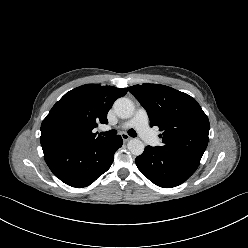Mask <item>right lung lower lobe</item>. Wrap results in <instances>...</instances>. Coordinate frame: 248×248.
<instances>
[{
	"mask_svg": "<svg viewBox=\"0 0 248 248\" xmlns=\"http://www.w3.org/2000/svg\"><path fill=\"white\" fill-rule=\"evenodd\" d=\"M120 135L79 146H48L43 148L44 159L65 184L86 187L105 173L114 160V153L122 146Z\"/></svg>",
	"mask_w": 248,
	"mask_h": 248,
	"instance_id": "right-lung-lower-lobe-1",
	"label": "right lung lower lobe"
}]
</instances>
